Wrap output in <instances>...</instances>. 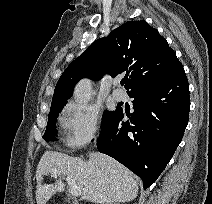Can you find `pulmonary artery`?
Here are the masks:
<instances>
[{"mask_svg":"<svg viewBox=\"0 0 212 204\" xmlns=\"http://www.w3.org/2000/svg\"><path fill=\"white\" fill-rule=\"evenodd\" d=\"M119 83L116 82L115 85H118ZM112 96L114 98L115 101H122L125 99L126 95L124 93L123 90L119 89V88H115L112 92Z\"/></svg>","mask_w":212,"mask_h":204,"instance_id":"1","label":"pulmonary artery"}]
</instances>
